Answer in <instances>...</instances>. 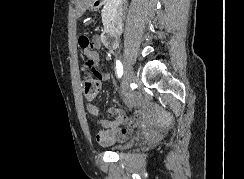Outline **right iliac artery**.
<instances>
[{
	"label": "right iliac artery",
	"mask_w": 244,
	"mask_h": 179,
	"mask_svg": "<svg viewBox=\"0 0 244 179\" xmlns=\"http://www.w3.org/2000/svg\"><path fill=\"white\" fill-rule=\"evenodd\" d=\"M116 69H117L118 77L121 78V76L123 74V66H122V63L119 60L116 61Z\"/></svg>",
	"instance_id": "obj_1"
}]
</instances>
